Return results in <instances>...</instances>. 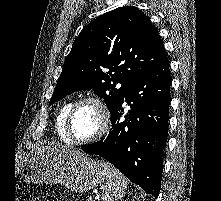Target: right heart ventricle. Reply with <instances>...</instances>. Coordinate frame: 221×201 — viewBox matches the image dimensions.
<instances>
[{"instance_id": "1", "label": "right heart ventricle", "mask_w": 221, "mask_h": 201, "mask_svg": "<svg viewBox=\"0 0 221 201\" xmlns=\"http://www.w3.org/2000/svg\"><path fill=\"white\" fill-rule=\"evenodd\" d=\"M73 103L74 102L72 100L64 103L59 109L57 116H56V121H55V128H56L57 135L60 140L66 143H71L66 133L65 123H66L67 114L71 106L73 105Z\"/></svg>"}]
</instances>
